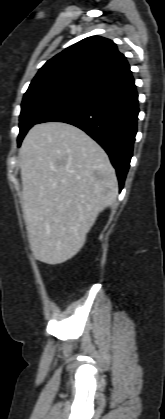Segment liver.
Masks as SVG:
<instances>
[{
  "mask_svg": "<svg viewBox=\"0 0 165 419\" xmlns=\"http://www.w3.org/2000/svg\"><path fill=\"white\" fill-rule=\"evenodd\" d=\"M22 210L33 256L61 264L83 247L98 215L118 194L106 152L62 122L33 126L21 145Z\"/></svg>",
  "mask_w": 165,
  "mask_h": 419,
  "instance_id": "obj_1",
  "label": "liver"
}]
</instances>
